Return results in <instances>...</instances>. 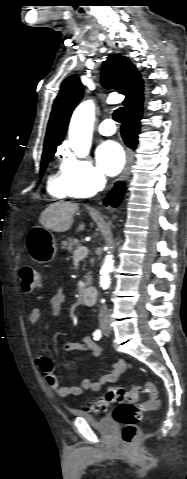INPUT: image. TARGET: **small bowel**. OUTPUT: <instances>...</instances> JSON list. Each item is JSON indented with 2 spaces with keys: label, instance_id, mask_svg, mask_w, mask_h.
<instances>
[{
  "label": "small bowel",
  "instance_id": "1",
  "mask_svg": "<svg viewBox=\"0 0 187 479\" xmlns=\"http://www.w3.org/2000/svg\"><path fill=\"white\" fill-rule=\"evenodd\" d=\"M67 298L61 288H57L50 296V308L52 316H58L61 310L66 305ZM41 318V311L39 308L34 307L28 317L29 323L35 327L38 325ZM62 349L66 352L73 351H86L89 355L86 358L83 366H85L91 357L99 358L103 349L92 341L88 336L82 338L80 342H66L62 345ZM38 367L41 373L44 375L47 385L52 389L59 397L65 398L68 396H78L86 390L99 391L106 384L114 383L118 381L120 376L128 369L129 365L123 360L116 361L112 370L102 375L101 377L94 379L93 377L85 378L80 384L74 386L61 385L58 377L53 371V362L49 356L42 355L38 358Z\"/></svg>",
  "mask_w": 187,
  "mask_h": 479
}]
</instances>
